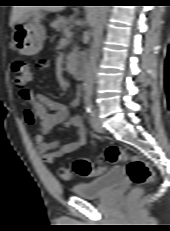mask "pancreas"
Instances as JSON below:
<instances>
[{
	"label": "pancreas",
	"instance_id": "cf45deb5",
	"mask_svg": "<svg viewBox=\"0 0 170 231\" xmlns=\"http://www.w3.org/2000/svg\"><path fill=\"white\" fill-rule=\"evenodd\" d=\"M69 25V20L66 19L63 16H58L52 23H51V27L53 29H55L56 31H63L65 30V28H67Z\"/></svg>",
	"mask_w": 170,
	"mask_h": 231
}]
</instances>
